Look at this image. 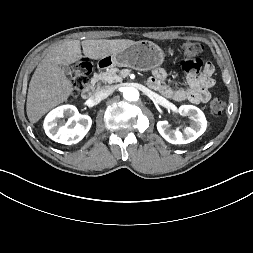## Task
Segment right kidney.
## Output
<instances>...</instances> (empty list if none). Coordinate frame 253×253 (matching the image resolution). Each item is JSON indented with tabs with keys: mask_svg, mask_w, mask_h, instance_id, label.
<instances>
[{
	"mask_svg": "<svg viewBox=\"0 0 253 253\" xmlns=\"http://www.w3.org/2000/svg\"><path fill=\"white\" fill-rule=\"evenodd\" d=\"M65 118H68L67 122ZM91 125V117L79 115L77 108L73 105H63L53 109L48 113L43 124L48 137L66 145L81 141Z\"/></svg>",
	"mask_w": 253,
	"mask_h": 253,
	"instance_id": "1",
	"label": "right kidney"
}]
</instances>
